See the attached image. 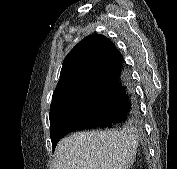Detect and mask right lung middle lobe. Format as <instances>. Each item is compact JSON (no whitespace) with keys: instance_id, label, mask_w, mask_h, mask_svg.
<instances>
[{"instance_id":"1","label":"right lung middle lobe","mask_w":177,"mask_h":169,"mask_svg":"<svg viewBox=\"0 0 177 169\" xmlns=\"http://www.w3.org/2000/svg\"><path fill=\"white\" fill-rule=\"evenodd\" d=\"M90 98V83L85 82L77 87L71 94L51 105L50 137L54 134V130L60 121L78 114L85 107Z\"/></svg>"}]
</instances>
